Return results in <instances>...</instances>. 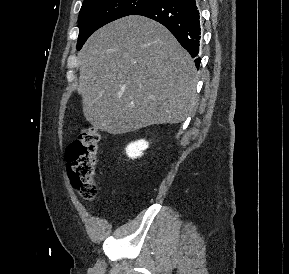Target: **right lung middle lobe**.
Returning <instances> with one entry per match:
<instances>
[{
    "label": "right lung middle lobe",
    "mask_w": 289,
    "mask_h": 274,
    "mask_svg": "<svg viewBox=\"0 0 289 274\" xmlns=\"http://www.w3.org/2000/svg\"><path fill=\"white\" fill-rule=\"evenodd\" d=\"M158 0H84L79 12L80 50L88 37L97 29L116 19L132 15Z\"/></svg>",
    "instance_id": "right-lung-middle-lobe-1"
}]
</instances>
